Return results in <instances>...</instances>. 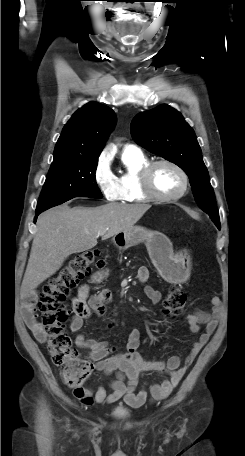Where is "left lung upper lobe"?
Instances as JSON below:
<instances>
[{
	"label": "left lung upper lobe",
	"mask_w": 245,
	"mask_h": 456,
	"mask_svg": "<svg viewBox=\"0 0 245 456\" xmlns=\"http://www.w3.org/2000/svg\"><path fill=\"white\" fill-rule=\"evenodd\" d=\"M137 144L178 165L189 177L198 206L220 224L213 188L193 129L168 105L137 114L131 122Z\"/></svg>",
	"instance_id": "1"
}]
</instances>
